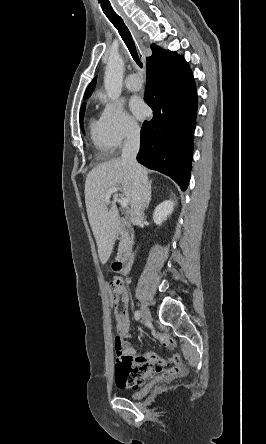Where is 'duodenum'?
<instances>
[{"mask_svg":"<svg viewBox=\"0 0 266 444\" xmlns=\"http://www.w3.org/2000/svg\"><path fill=\"white\" fill-rule=\"evenodd\" d=\"M133 260L132 251L129 248L124 249L115 262L117 270L123 274L128 275L131 271Z\"/></svg>","mask_w":266,"mask_h":444,"instance_id":"410a0bca","label":"duodenum"}]
</instances>
